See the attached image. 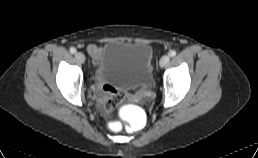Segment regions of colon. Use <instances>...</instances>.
<instances>
[{
    "instance_id": "1",
    "label": "colon",
    "mask_w": 258,
    "mask_h": 158,
    "mask_svg": "<svg viewBox=\"0 0 258 158\" xmlns=\"http://www.w3.org/2000/svg\"><path fill=\"white\" fill-rule=\"evenodd\" d=\"M119 101V96L114 95V99H111L107 104H106V109L107 110H111L113 107V103L114 102H118Z\"/></svg>"
}]
</instances>
